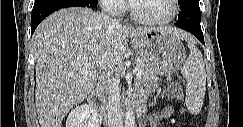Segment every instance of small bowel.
<instances>
[{
    "mask_svg": "<svg viewBox=\"0 0 243 127\" xmlns=\"http://www.w3.org/2000/svg\"><path fill=\"white\" fill-rule=\"evenodd\" d=\"M173 111H174V109H172V108L165 109L164 112L162 113V116L163 117H168V116H170L173 113ZM179 111L181 113H184L185 109L183 107H179Z\"/></svg>",
    "mask_w": 243,
    "mask_h": 127,
    "instance_id": "1",
    "label": "small bowel"
}]
</instances>
